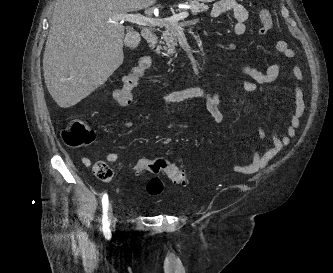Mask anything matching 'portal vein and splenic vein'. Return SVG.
<instances>
[{
  "mask_svg": "<svg viewBox=\"0 0 333 273\" xmlns=\"http://www.w3.org/2000/svg\"><path fill=\"white\" fill-rule=\"evenodd\" d=\"M189 16L188 12H181L179 14H175L169 18L158 19L149 16H143L141 14H125L118 17H114V21H126L129 23H134L142 26H149V27H163L166 26L167 23H177L180 20H184Z\"/></svg>",
  "mask_w": 333,
  "mask_h": 273,
  "instance_id": "obj_1",
  "label": "portal vein and splenic vein"
}]
</instances>
